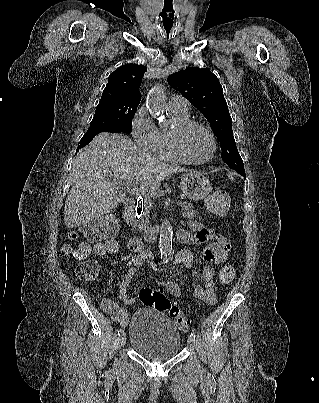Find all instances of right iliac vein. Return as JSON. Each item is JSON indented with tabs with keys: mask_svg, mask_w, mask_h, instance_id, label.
I'll list each match as a JSON object with an SVG mask.
<instances>
[{
	"mask_svg": "<svg viewBox=\"0 0 319 403\" xmlns=\"http://www.w3.org/2000/svg\"><path fill=\"white\" fill-rule=\"evenodd\" d=\"M125 343H126V336L123 333L117 339V348L123 347L125 345Z\"/></svg>",
	"mask_w": 319,
	"mask_h": 403,
	"instance_id": "right-iliac-vein-1",
	"label": "right iliac vein"
}]
</instances>
